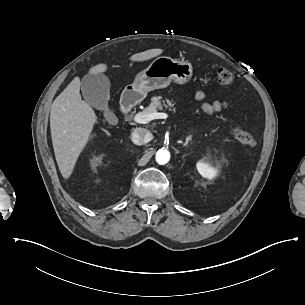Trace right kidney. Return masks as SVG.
<instances>
[{"mask_svg":"<svg viewBox=\"0 0 305 305\" xmlns=\"http://www.w3.org/2000/svg\"><path fill=\"white\" fill-rule=\"evenodd\" d=\"M102 158L103 155L100 156H94L91 160H90V164L93 168H96L98 165H100L102 163Z\"/></svg>","mask_w":305,"mask_h":305,"instance_id":"1","label":"right kidney"}]
</instances>
